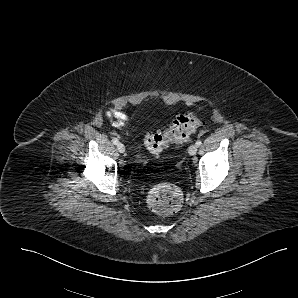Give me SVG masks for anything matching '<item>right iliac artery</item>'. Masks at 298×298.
<instances>
[{
    "label": "right iliac artery",
    "mask_w": 298,
    "mask_h": 298,
    "mask_svg": "<svg viewBox=\"0 0 298 298\" xmlns=\"http://www.w3.org/2000/svg\"><path fill=\"white\" fill-rule=\"evenodd\" d=\"M112 142H113V144H115V145H117V144L119 143L118 139H116V138H113V139H112Z\"/></svg>",
    "instance_id": "1"
}]
</instances>
